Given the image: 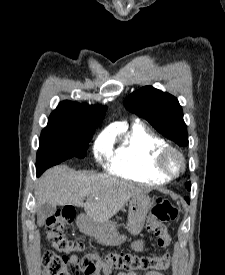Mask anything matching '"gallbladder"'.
<instances>
[{
    "mask_svg": "<svg viewBox=\"0 0 225 275\" xmlns=\"http://www.w3.org/2000/svg\"><path fill=\"white\" fill-rule=\"evenodd\" d=\"M55 212H56L55 206H52L48 203L41 205L38 208V224L42 225L46 221V219L54 215Z\"/></svg>",
    "mask_w": 225,
    "mask_h": 275,
    "instance_id": "1",
    "label": "gallbladder"
}]
</instances>
